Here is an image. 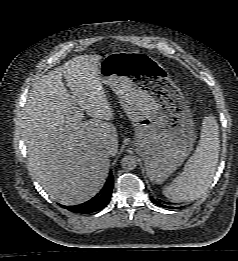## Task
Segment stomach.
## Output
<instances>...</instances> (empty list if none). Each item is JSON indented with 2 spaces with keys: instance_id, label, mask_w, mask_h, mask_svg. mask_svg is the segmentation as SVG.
I'll return each instance as SVG.
<instances>
[{
  "instance_id": "stomach-1",
  "label": "stomach",
  "mask_w": 238,
  "mask_h": 261,
  "mask_svg": "<svg viewBox=\"0 0 238 261\" xmlns=\"http://www.w3.org/2000/svg\"><path fill=\"white\" fill-rule=\"evenodd\" d=\"M98 74L134 126L133 146L144 159L147 176L155 184L163 183L188 157L195 141L180 88L144 55L108 54Z\"/></svg>"
}]
</instances>
